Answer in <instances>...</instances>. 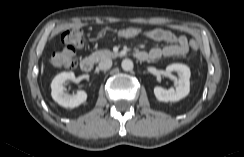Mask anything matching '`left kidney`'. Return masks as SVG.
<instances>
[{
  "label": "left kidney",
  "instance_id": "5707ae66",
  "mask_svg": "<svg viewBox=\"0 0 244 157\" xmlns=\"http://www.w3.org/2000/svg\"><path fill=\"white\" fill-rule=\"evenodd\" d=\"M166 72H176L179 79L176 81V88L168 90L156 86L154 88V95L157 100L161 102H176L186 97L190 92V69L184 64H171L166 67Z\"/></svg>",
  "mask_w": 244,
  "mask_h": 157
}]
</instances>
